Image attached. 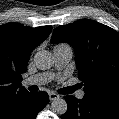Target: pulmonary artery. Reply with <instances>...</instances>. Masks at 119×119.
Instances as JSON below:
<instances>
[{"label":"pulmonary artery","mask_w":119,"mask_h":119,"mask_svg":"<svg viewBox=\"0 0 119 119\" xmlns=\"http://www.w3.org/2000/svg\"><path fill=\"white\" fill-rule=\"evenodd\" d=\"M72 48L68 45H62L54 48V59L55 66L58 69L65 67L70 59L72 58ZM53 75L51 73H41L34 76H31L23 81L25 86L31 85H43L49 82L52 79ZM84 91H79L77 97L82 99L84 97Z\"/></svg>","instance_id":"e3ab8cb5"}]
</instances>
